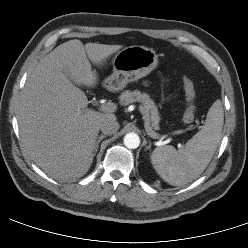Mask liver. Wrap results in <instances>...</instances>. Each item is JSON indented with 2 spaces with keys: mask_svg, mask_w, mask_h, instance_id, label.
I'll use <instances>...</instances> for the list:
<instances>
[{
  "mask_svg": "<svg viewBox=\"0 0 248 248\" xmlns=\"http://www.w3.org/2000/svg\"><path fill=\"white\" fill-rule=\"evenodd\" d=\"M121 45L77 39L57 46L36 65L18 105L23 147L46 174L70 180L85 175L93 162L100 123L114 114L87 108L85 93L68 76L87 87L98 83L91 63L102 66Z\"/></svg>",
  "mask_w": 248,
  "mask_h": 248,
  "instance_id": "6515ba94",
  "label": "liver"
}]
</instances>
